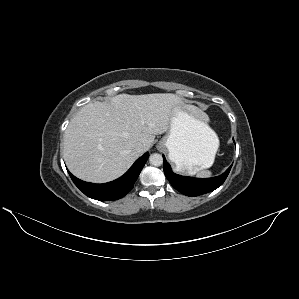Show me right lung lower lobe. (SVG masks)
Here are the masks:
<instances>
[{
	"label": "right lung lower lobe",
	"mask_w": 299,
	"mask_h": 299,
	"mask_svg": "<svg viewBox=\"0 0 299 299\" xmlns=\"http://www.w3.org/2000/svg\"><path fill=\"white\" fill-rule=\"evenodd\" d=\"M149 153H145L141 156L132 167L120 178L104 183V184H94L84 182L74 175L70 174L71 179L74 184L88 197L99 200V201H111L117 200L124 197L134 186L141 170L143 169Z\"/></svg>",
	"instance_id": "obj_1"
}]
</instances>
